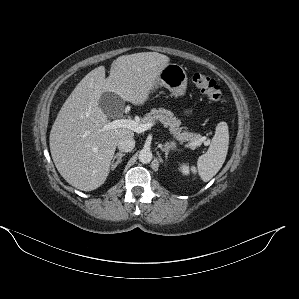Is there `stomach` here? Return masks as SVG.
<instances>
[{
    "mask_svg": "<svg viewBox=\"0 0 299 299\" xmlns=\"http://www.w3.org/2000/svg\"><path fill=\"white\" fill-rule=\"evenodd\" d=\"M187 80L186 71L182 66L175 63H168L159 73L151 92L158 87L164 86L176 98L182 97L186 93Z\"/></svg>",
    "mask_w": 299,
    "mask_h": 299,
    "instance_id": "stomach-1",
    "label": "stomach"
}]
</instances>
